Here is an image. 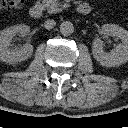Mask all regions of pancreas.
<instances>
[{"mask_svg":"<svg viewBox=\"0 0 128 128\" xmlns=\"http://www.w3.org/2000/svg\"><path fill=\"white\" fill-rule=\"evenodd\" d=\"M45 8L48 10V13H57L61 12L64 8H67L69 5L66 3L58 2V0H42Z\"/></svg>","mask_w":128,"mask_h":128,"instance_id":"cf45deb5","label":"pancreas"}]
</instances>
